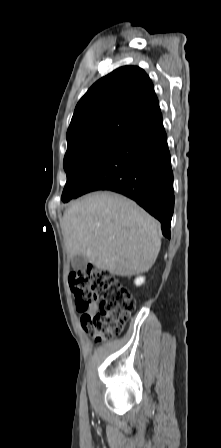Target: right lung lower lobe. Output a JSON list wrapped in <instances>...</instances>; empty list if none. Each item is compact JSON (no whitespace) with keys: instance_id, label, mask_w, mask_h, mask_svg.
Here are the masks:
<instances>
[{"instance_id":"right-lung-lower-lobe-1","label":"right lung lower lobe","mask_w":221,"mask_h":448,"mask_svg":"<svg viewBox=\"0 0 221 448\" xmlns=\"http://www.w3.org/2000/svg\"><path fill=\"white\" fill-rule=\"evenodd\" d=\"M96 190L114 191L135 200L161 222L163 235L170 238L173 172L161 112L116 142L79 196Z\"/></svg>"}]
</instances>
